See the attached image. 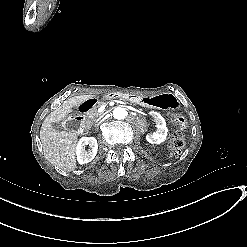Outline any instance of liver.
<instances>
[{"instance_id": "liver-1", "label": "liver", "mask_w": 247, "mask_h": 247, "mask_svg": "<svg viewBox=\"0 0 247 247\" xmlns=\"http://www.w3.org/2000/svg\"><path fill=\"white\" fill-rule=\"evenodd\" d=\"M97 95H76L66 99L44 119L40 129V141L46 160L62 175L77 168L76 152L79 142L77 131L57 130L54 124L69 120L74 109Z\"/></svg>"}]
</instances>
